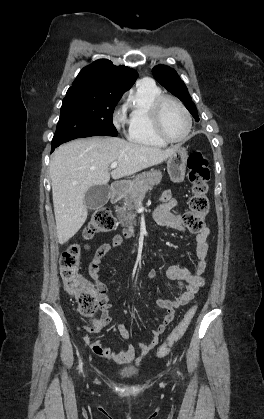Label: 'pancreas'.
<instances>
[{"mask_svg":"<svg viewBox=\"0 0 264 419\" xmlns=\"http://www.w3.org/2000/svg\"><path fill=\"white\" fill-rule=\"evenodd\" d=\"M162 179V173L159 170H150L138 174L131 182L128 183L121 196L124 201V206L115 207L120 223L131 227L135 222V214L131 213L138 207L140 200L145 197L147 191L153 189L158 185Z\"/></svg>","mask_w":264,"mask_h":419,"instance_id":"obj_1","label":"pancreas"}]
</instances>
